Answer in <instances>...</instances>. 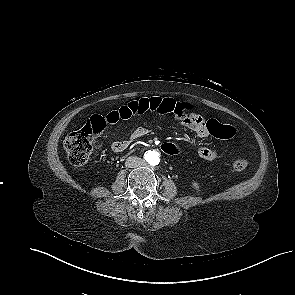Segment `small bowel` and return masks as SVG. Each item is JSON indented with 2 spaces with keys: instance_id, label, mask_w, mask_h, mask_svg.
I'll return each mask as SVG.
<instances>
[{
  "instance_id": "small-bowel-1",
  "label": "small bowel",
  "mask_w": 295,
  "mask_h": 295,
  "mask_svg": "<svg viewBox=\"0 0 295 295\" xmlns=\"http://www.w3.org/2000/svg\"><path fill=\"white\" fill-rule=\"evenodd\" d=\"M147 112L160 115L173 114L181 126L193 131L198 137L205 138L210 135L207 128L208 121L191 112L188 104L173 98L144 97L131 101L102 117L106 125H112ZM147 133L148 129L140 126L131 133L129 139L113 142L111 149L115 153H122L130 147L133 141L144 137ZM198 155L205 161H213L217 157V151L207 146H200Z\"/></svg>"
}]
</instances>
